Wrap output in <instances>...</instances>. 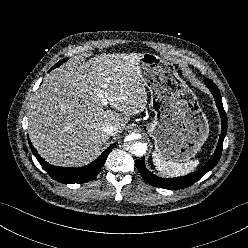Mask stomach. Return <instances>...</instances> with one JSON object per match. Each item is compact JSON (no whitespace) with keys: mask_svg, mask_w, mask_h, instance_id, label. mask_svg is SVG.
<instances>
[{"mask_svg":"<svg viewBox=\"0 0 248 248\" xmlns=\"http://www.w3.org/2000/svg\"><path fill=\"white\" fill-rule=\"evenodd\" d=\"M140 76L151 94L155 117L148 124L155 152L170 162H187L200 150L209 134L207 117L197 97L161 57L145 53L138 60Z\"/></svg>","mask_w":248,"mask_h":248,"instance_id":"0dacf381","label":"stomach"}]
</instances>
